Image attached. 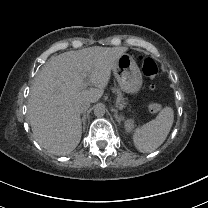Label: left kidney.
Instances as JSON below:
<instances>
[{"instance_id": "obj_1", "label": "left kidney", "mask_w": 208, "mask_h": 208, "mask_svg": "<svg viewBox=\"0 0 208 208\" xmlns=\"http://www.w3.org/2000/svg\"><path fill=\"white\" fill-rule=\"evenodd\" d=\"M125 125H126V128H127L128 130H130V129H132V128L134 127V123H133L132 120L127 121V122L125 123Z\"/></svg>"}]
</instances>
